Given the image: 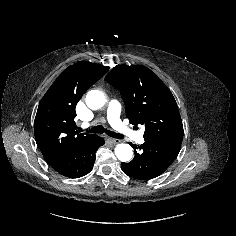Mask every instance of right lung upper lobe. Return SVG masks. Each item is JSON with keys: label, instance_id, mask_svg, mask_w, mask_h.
Returning a JSON list of instances; mask_svg holds the SVG:
<instances>
[{"label": "right lung upper lobe", "instance_id": "right-lung-upper-lobe-1", "mask_svg": "<svg viewBox=\"0 0 236 236\" xmlns=\"http://www.w3.org/2000/svg\"><path fill=\"white\" fill-rule=\"evenodd\" d=\"M108 69L79 61L64 70L48 89L39 103L34 122L36 143L44 158L72 150L95 136L76 131L75 107Z\"/></svg>", "mask_w": 236, "mask_h": 236}]
</instances>
